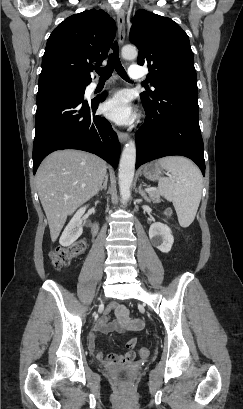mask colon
<instances>
[{"label": "colon", "instance_id": "1", "mask_svg": "<svg viewBox=\"0 0 243 409\" xmlns=\"http://www.w3.org/2000/svg\"><path fill=\"white\" fill-rule=\"evenodd\" d=\"M170 213H171L170 209L165 210L166 215H170ZM86 246H87L86 240L81 239V240L73 243L69 247H66V248L59 247V248L55 249L52 252V255H51L53 266L55 268H63L65 266L69 265L71 260L74 257L82 254L85 251ZM138 352H139V355L141 357H144V358H147L150 355V350L147 347L139 348ZM119 379L121 381H124L125 374L120 373L119 374Z\"/></svg>", "mask_w": 243, "mask_h": 409}]
</instances>
